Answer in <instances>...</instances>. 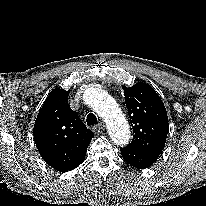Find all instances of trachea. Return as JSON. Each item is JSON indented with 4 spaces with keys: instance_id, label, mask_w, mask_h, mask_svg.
<instances>
[{
    "instance_id": "obj_1",
    "label": "trachea",
    "mask_w": 206,
    "mask_h": 206,
    "mask_svg": "<svg viewBox=\"0 0 206 206\" xmlns=\"http://www.w3.org/2000/svg\"><path fill=\"white\" fill-rule=\"evenodd\" d=\"M86 121H87L88 126L98 124L97 117L93 113H90V114L87 115Z\"/></svg>"
}]
</instances>
